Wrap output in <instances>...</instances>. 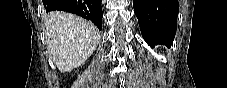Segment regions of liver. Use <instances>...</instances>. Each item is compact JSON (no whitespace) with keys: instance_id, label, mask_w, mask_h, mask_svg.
<instances>
[{"instance_id":"obj_1","label":"liver","mask_w":227,"mask_h":88,"mask_svg":"<svg viewBox=\"0 0 227 88\" xmlns=\"http://www.w3.org/2000/svg\"><path fill=\"white\" fill-rule=\"evenodd\" d=\"M47 52L60 72H69L93 54L99 43L97 27L85 19L60 11L45 16Z\"/></svg>"}]
</instances>
